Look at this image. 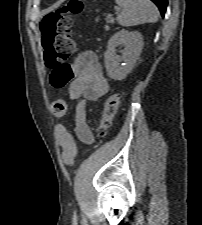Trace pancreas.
<instances>
[{
  "instance_id": "1",
  "label": "pancreas",
  "mask_w": 202,
  "mask_h": 225,
  "mask_svg": "<svg viewBox=\"0 0 202 225\" xmlns=\"http://www.w3.org/2000/svg\"><path fill=\"white\" fill-rule=\"evenodd\" d=\"M107 23H111L109 19H106ZM106 29H108V26H106Z\"/></svg>"
}]
</instances>
